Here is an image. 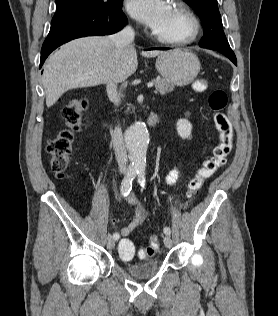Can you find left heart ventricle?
I'll use <instances>...</instances> for the list:
<instances>
[{
  "instance_id": "b2bd125f",
  "label": "left heart ventricle",
  "mask_w": 278,
  "mask_h": 316,
  "mask_svg": "<svg viewBox=\"0 0 278 316\" xmlns=\"http://www.w3.org/2000/svg\"><path fill=\"white\" fill-rule=\"evenodd\" d=\"M187 31V19L171 6L167 18L156 32L164 36L177 37L184 35Z\"/></svg>"
}]
</instances>
